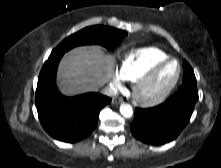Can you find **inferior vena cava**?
I'll return each mask as SVG.
<instances>
[{
    "instance_id": "inferior-vena-cava-1",
    "label": "inferior vena cava",
    "mask_w": 221,
    "mask_h": 168,
    "mask_svg": "<svg viewBox=\"0 0 221 168\" xmlns=\"http://www.w3.org/2000/svg\"><path fill=\"white\" fill-rule=\"evenodd\" d=\"M102 93L106 96H116L118 94V89L115 86H106L103 90Z\"/></svg>"
}]
</instances>
